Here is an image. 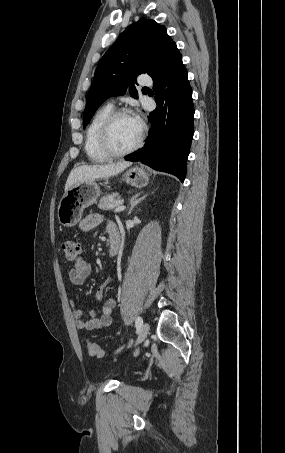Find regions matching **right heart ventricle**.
I'll use <instances>...</instances> for the list:
<instances>
[{
  "instance_id": "obj_1",
  "label": "right heart ventricle",
  "mask_w": 285,
  "mask_h": 453,
  "mask_svg": "<svg viewBox=\"0 0 285 453\" xmlns=\"http://www.w3.org/2000/svg\"><path fill=\"white\" fill-rule=\"evenodd\" d=\"M113 111V106L106 104L99 108L91 118L84 141V150L88 159L93 163H103L109 156L101 149L99 144V131L106 117Z\"/></svg>"
}]
</instances>
